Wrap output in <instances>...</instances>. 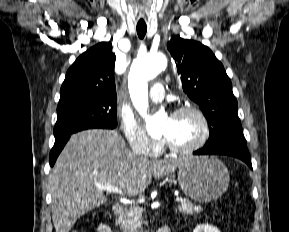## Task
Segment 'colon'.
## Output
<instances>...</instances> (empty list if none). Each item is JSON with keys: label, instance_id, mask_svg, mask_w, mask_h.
Here are the masks:
<instances>
[{"label": "colon", "instance_id": "colon-1", "mask_svg": "<svg viewBox=\"0 0 289 232\" xmlns=\"http://www.w3.org/2000/svg\"><path fill=\"white\" fill-rule=\"evenodd\" d=\"M72 232H78V231H76V230H73Z\"/></svg>", "mask_w": 289, "mask_h": 232}]
</instances>
